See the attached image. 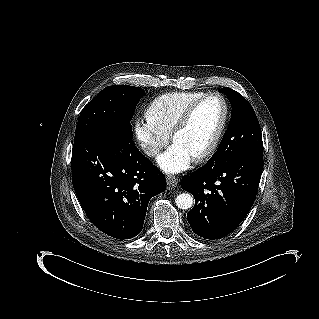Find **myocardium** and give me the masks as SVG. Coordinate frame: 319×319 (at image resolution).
Returning a JSON list of instances; mask_svg holds the SVG:
<instances>
[{"label":"myocardium","instance_id":"obj_1","mask_svg":"<svg viewBox=\"0 0 319 319\" xmlns=\"http://www.w3.org/2000/svg\"><path fill=\"white\" fill-rule=\"evenodd\" d=\"M210 99H217L222 106V114H221V118H220V122L219 125L217 127V130L215 132V134L213 135L211 141L208 143V145L202 149L201 151H198L196 153H193L194 157L196 160H200L203 159L204 157H206L207 155H209L217 146L223 130L225 128V124H226V119H227V113H228V108H227V103L224 99V97L219 94V93H210V94H206L203 97H201L199 100H197L195 103H193L184 113L183 115L180 117V119L177 121V123L175 124L173 131H172V139L175 140L179 131L184 127V125L187 123V121L189 120L191 114L193 113V111L203 102L210 100Z\"/></svg>","mask_w":319,"mask_h":319}]
</instances>
